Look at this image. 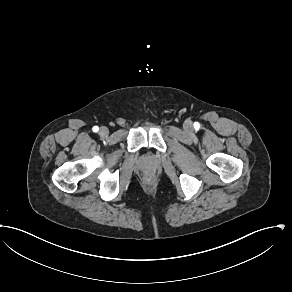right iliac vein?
<instances>
[{"label": "right iliac vein", "mask_w": 292, "mask_h": 292, "mask_svg": "<svg viewBox=\"0 0 292 292\" xmlns=\"http://www.w3.org/2000/svg\"><path fill=\"white\" fill-rule=\"evenodd\" d=\"M99 134L100 136L105 137L109 134V129L105 126H102L99 130Z\"/></svg>", "instance_id": "obj_1"}]
</instances>
